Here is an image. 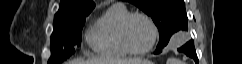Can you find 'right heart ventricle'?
Wrapping results in <instances>:
<instances>
[{
    "instance_id": "e07e8e85",
    "label": "right heart ventricle",
    "mask_w": 242,
    "mask_h": 64,
    "mask_svg": "<svg viewBox=\"0 0 242 64\" xmlns=\"http://www.w3.org/2000/svg\"><path fill=\"white\" fill-rule=\"evenodd\" d=\"M129 10L120 3L108 7L89 28L86 38L92 50L101 56L120 58L128 53L119 40V27Z\"/></svg>"
}]
</instances>
